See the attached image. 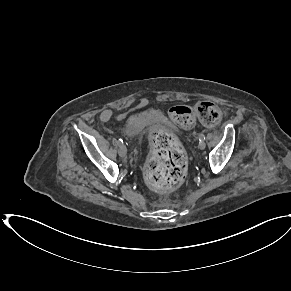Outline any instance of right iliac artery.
<instances>
[{
	"mask_svg": "<svg viewBox=\"0 0 291 291\" xmlns=\"http://www.w3.org/2000/svg\"><path fill=\"white\" fill-rule=\"evenodd\" d=\"M123 143V140L122 139H119L118 140V145H121Z\"/></svg>",
	"mask_w": 291,
	"mask_h": 291,
	"instance_id": "82829eb1",
	"label": "right iliac artery"
}]
</instances>
